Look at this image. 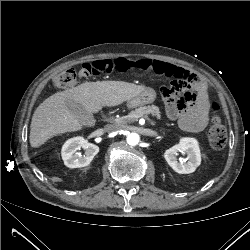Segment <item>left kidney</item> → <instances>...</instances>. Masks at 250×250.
<instances>
[{
	"label": "left kidney",
	"mask_w": 250,
	"mask_h": 250,
	"mask_svg": "<svg viewBox=\"0 0 250 250\" xmlns=\"http://www.w3.org/2000/svg\"><path fill=\"white\" fill-rule=\"evenodd\" d=\"M179 152L187 154V158L178 159ZM164 158L175 172L179 174L193 173L201 163L198 141L195 138H182L179 144L165 151Z\"/></svg>",
	"instance_id": "5707ae66"
}]
</instances>
